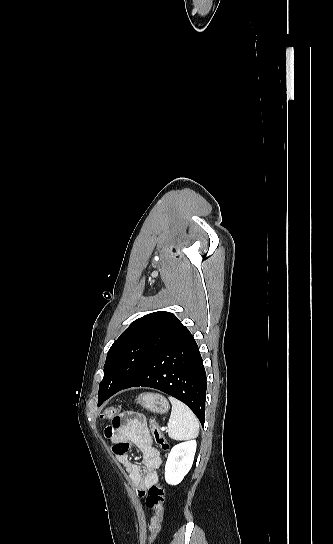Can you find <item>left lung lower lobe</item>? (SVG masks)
Returning a JSON list of instances; mask_svg holds the SVG:
<instances>
[{
  "instance_id": "left-lung-lower-lobe-1",
  "label": "left lung lower lobe",
  "mask_w": 333,
  "mask_h": 544,
  "mask_svg": "<svg viewBox=\"0 0 333 544\" xmlns=\"http://www.w3.org/2000/svg\"><path fill=\"white\" fill-rule=\"evenodd\" d=\"M140 386L158 389L182 401L204 426L206 372L199 348L185 326L154 354L128 384L113 392H99L98 406L120 390Z\"/></svg>"
}]
</instances>
